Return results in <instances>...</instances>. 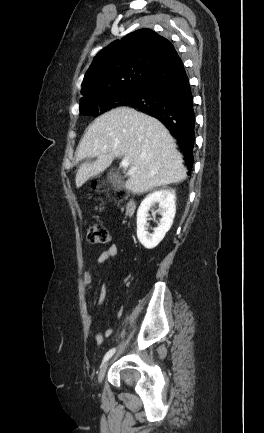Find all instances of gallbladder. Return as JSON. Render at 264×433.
<instances>
[{
	"label": "gallbladder",
	"mask_w": 264,
	"mask_h": 433,
	"mask_svg": "<svg viewBox=\"0 0 264 433\" xmlns=\"http://www.w3.org/2000/svg\"><path fill=\"white\" fill-rule=\"evenodd\" d=\"M108 180L117 189H121L124 187L123 182L120 180V178H119V176L115 170H111L108 173Z\"/></svg>",
	"instance_id": "obj_1"
}]
</instances>
